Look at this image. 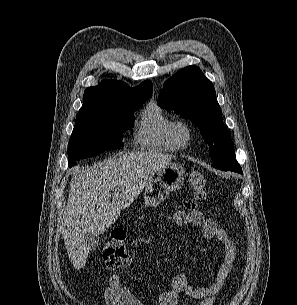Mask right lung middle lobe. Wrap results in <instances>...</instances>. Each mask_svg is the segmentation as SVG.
Listing matches in <instances>:
<instances>
[{"mask_svg":"<svg viewBox=\"0 0 297 305\" xmlns=\"http://www.w3.org/2000/svg\"><path fill=\"white\" fill-rule=\"evenodd\" d=\"M147 99L124 101L103 108L80 109L68 144L69 166L77 160L123 146L122 134L131 130L132 112Z\"/></svg>","mask_w":297,"mask_h":305,"instance_id":"1","label":"right lung middle lobe"}]
</instances>
